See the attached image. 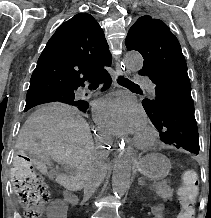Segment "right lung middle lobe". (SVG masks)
Instances as JSON below:
<instances>
[{
  "label": "right lung middle lobe",
  "instance_id": "obj_1",
  "mask_svg": "<svg viewBox=\"0 0 211 218\" xmlns=\"http://www.w3.org/2000/svg\"><path fill=\"white\" fill-rule=\"evenodd\" d=\"M61 105H71L77 107L80 111L85 112L89 107L88 102L77 100L75 93L70 91L57 92L44 97H40L26 102L24 111H35Z\"/></svg>",
  "mask_w": 211,
  "mask_h": 218
}]
</instances>
